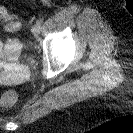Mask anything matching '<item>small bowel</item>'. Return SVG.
Wrapping results in <instances>:
<instances>
[{
  "label": "small bowel",
  "mask_w": 133,
  "mask_h": 133,
  "mask_svg": "<svg viewBox=\"0 0 133 133\" xmlns=\"http://www.w3.org/2000/svg\"><path fill=\"white\" fill-rule=\"evenodd\" d=\"M6 29H7L8 31H14V30L9 29L7 26H6Z\"/></svg>",
  "instance_id": "small-bowel-1"
}]
</instances>
